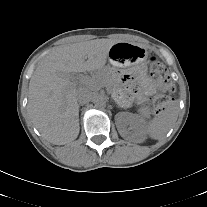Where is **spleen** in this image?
I'll list each match as a JSON object with an SVG mask.
<instances>
[{
    "mask_svg": "<svg viewBox=\"0 0 207 207\" xmlns=\"http://www.w3.org/2000/svg\"><path fill=\"white\" fill-rule=\"evenodd\" d=\"M179 106L176 101L171 102L160 114L145 125V132L151 138H163L178 118Z\"/></svg>",
    "mask_w": 207,
    "mask_h": 207,
    "instance_id": "spleen-1",
    "label": "spleen"
}]
</instances>
